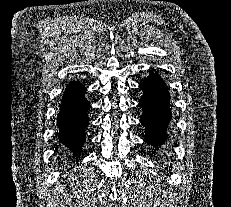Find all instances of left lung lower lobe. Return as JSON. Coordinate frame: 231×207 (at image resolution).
<instances>
[{
    "instance_id": "1",
    "label": "left lung lower lobe",
    "mask_w": 231,
    "mask_h": 207,
    "mask_svg": "<svg viewBox=\"0 0 231 207\" xmlns=\"http://www.w3.org/2000/svg\"><path fill=\"white\" fill-rule=\"evenodd\" d=\"M139 87L143 90L139 106L143 110L140 122L146 128L144 141L159 147L167 138L166 130L171 120L170 94L159 74L153 72Z\"/></svg>"
}]
</instances>
